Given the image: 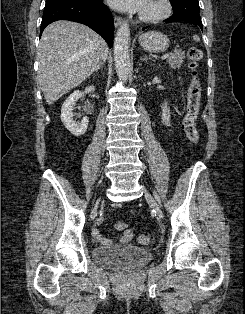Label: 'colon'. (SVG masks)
<instances>
[{
	"instance_id": "colon-1",
	"label": "colon",
	"mask_w": 245,
	"mask_h": 314,
	"mask_svg": "<svg viewBox=\"0 0 245 314\" xmlns=\"http://www.w3.org/2000/svg\"><path fill=\"white\" fill-rule=\"evenodd\" d=\"M188 67L191 72V84L188 91L187 109L183 118L182 127L190 142H199V133L196 129V117L199 110L201 87L197 70L198 62L202 59V51L199 48L191 47L187 52ZM138 242L142 245H151L154 239L150 234H142L138 237Z\"/></svg>"
}]
</instances>
